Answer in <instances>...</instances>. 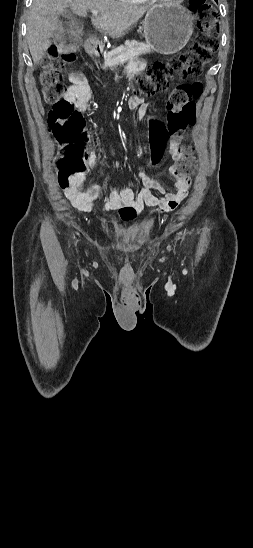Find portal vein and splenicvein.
Wrapping results in <instances>:
<instances>
[{
    "instance_id": "obj_1",
    "label": "portal vein and splenic vein",
    "mask_w": 253,
    "mask_h": 548,
    "mask_svg": "<svg viewBox=\"0 0 253 548\" xmlns=\"http://www.w3.org/2000/svg\"><path fill=\"white\" fill-rule=\"evenodd\" d=\"M91 12L95 16L98 15V13H99L97 10H91ZM121 62H125V60H122Z\"/></svg>"
}]
</instances>
